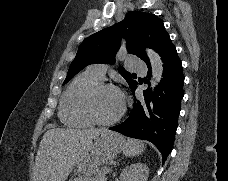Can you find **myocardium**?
<instances>
[{
	"label": "myocardium",
	"instance_id": "f54148a6",
	"mask_svg": "<svg viewBox=\"0 0 228 181\" xmlns=\"http://www.w3.org/2000/svg\"><path fill=\"white\" fill-rule=\"evenodd\" d=\"M108 88L115 89L117 92H119L121 94L122 105H121L119 112L116 115H114L111 118L105 119V118H101L97 114L96 109H95V99L99 92H101L104 89H108ZM125 106H126L125 97L123 96V94L121 93L119 88L112 82L100 81L96 85H94L91 88V90L89 91L87 100L85 103V111H86L88 117L92 120V122H94L96 124H100V125H109V124L115 123L123 116L124 111H125Z\"/></svg>",
	"mask_w": 228,
	"mask_h": 181
}]
</instances>
